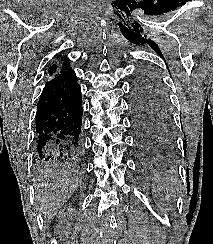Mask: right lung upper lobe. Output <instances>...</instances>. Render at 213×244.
I'll list each match as a JSON object with an SVG mask.
<instances>
[{"label":"right lung upper lobe","mask_w":213,"mask_h":244,"mask_svg":"<svg viewBox=\"0 0 213 244\" xmlns=\"http://www.w3.org/2000/svg\"><path fill=\"white\" fill-rule=\"evenodd\" d=\"M67 58H65V62H63L62 67H58L56 64L52 65L49 70V76L52 78H55L59 75L65 74L67 71L72 70L71 67H69V63Z\"/></svg>","instance_id":"cb5924a9"}]
</instances>
